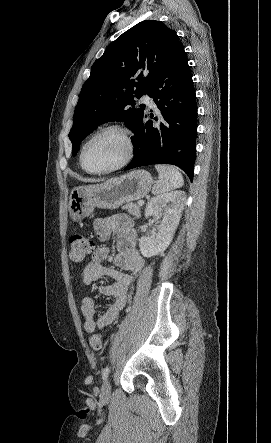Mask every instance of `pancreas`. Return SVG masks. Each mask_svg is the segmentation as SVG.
Wrapping results in <instances>:
<instances>
[{"label":"pancreas","instance_id":"obj_1","mask_svg":"<svg viewBox=\"0 0 271 443\" xmlns=\"http://www.w3.org/2000/svg\"><path fill=\"white\" fill-rule=\"evenodd\" d=\"M140 208L141 206H138V204H133V202L122 206V210H127V212H129V214H132V216H135V218H140Z\"/></svg>","mask_w":271,"mask_h":443}]
</instances>
